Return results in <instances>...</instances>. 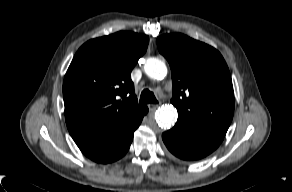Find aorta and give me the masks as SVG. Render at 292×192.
<instances>
[{"mask_svg":"<svg viewBox=\"0 0 292 192\" xmlns=\"http://www.w3.org/2000/svg\"><path fill=\"white\" fill-rule=\"evenodd\" d=\"M144 71L152 79L162 80L167 75L166 64L158 58H148ZM157 124L162 128H170L177 120V110L173 106L159 108L155 114Z\"/></svg>","mask_w":292,"mask_h":192,"instance_id":"1","label":"aorta"}]
</instances>
